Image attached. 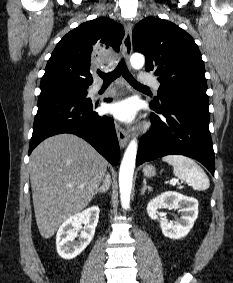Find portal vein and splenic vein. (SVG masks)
I'll use <instances>...</instances> for the list:
<instances>
[{
  "label": "portal vein and splenic vein",
  "mask_w": 233,
  "mask_h": 283,
  "mask_svg": "<svg viewBox=\"0 0 233 283\" xmlns=\"http://www.w3.org/2000/svg\"><path fill=\"white\" fill-rule=\"evenodd\" d=\"M173 186H175L176 185V180H172L171 182H170Z\"/></svg>",
  "instance_id": "portal-vein-and-splenic-vein-1"
}]
</instances>
